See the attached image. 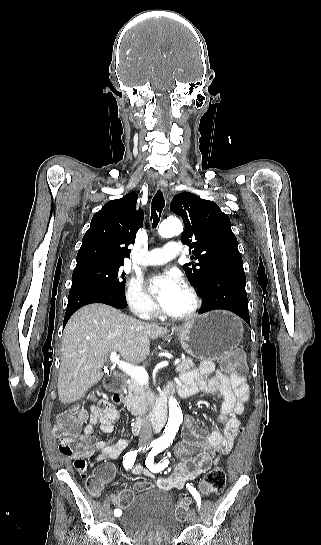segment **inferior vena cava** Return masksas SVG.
Returning <instances> with one entry per match:
<instances>
[{
  "label": "inferior vena cava",
  "mask_w": 321,
  "mask_h": 545,
  "mask_svg": "<svg viewBox=\"0 0 321 545\" xmlns=\"http://www.w3.org/2000/svg\"><path fill=\"white\" fill-rule=\"evenodd\" d=\"M152 439H153V431H152L151 421L149 417H145L141 425V431L139 435V447L142 448L143 446H145L147 448L149 446L147 443H150Z\"/></svg>",
  "instance_id": "inferior-vena-cava-1"
}]
</instances>
